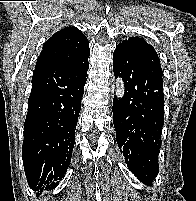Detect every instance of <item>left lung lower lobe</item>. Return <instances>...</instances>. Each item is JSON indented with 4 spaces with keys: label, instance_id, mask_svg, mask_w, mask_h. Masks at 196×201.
I'll use <instances>...</instances> for the list:
<instances>
[{
    "label": "left lung lower lobe",
    "instance_id": "obj_1",
    "mask_svg": "<svg viewBox=\"0 0 196 201\" xmlns=\"http://www.w3.org/2000/svg\"><path fill=\"white\" fill-rule=\"evenodd\" d=\"M113 70L125 83L124 96L113 100L117 144L130 171L150 185L159 171L164 125L163 72L159 64L122 43L113 53Z\"/></svg>",
    "mask_w": 196,
    "mask_h": 201
}]
</instances>
